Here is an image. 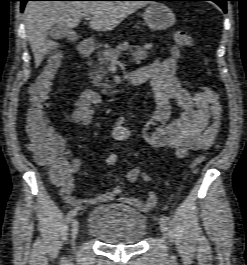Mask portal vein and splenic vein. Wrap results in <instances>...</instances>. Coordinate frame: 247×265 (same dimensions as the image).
Wrapping results in <instances>:
<instances>
[{"label":"portal vein and splenic vein","mask_w":247,"mask_h":265,"mask_svg":"<svg viewBox=\"0 0 247 265\" xmlns=\"http://www.w3.org/2000/svg\"><path fill=\"white\" fill-rule=\"evenodd\" d=\"M85 19H86V20H90V16H89V15L85 16ZM111 62H112V63H118V58H116V57H112V58H111Z\"/></svg>","instance_id":"18ae733b"}]
</instances>
